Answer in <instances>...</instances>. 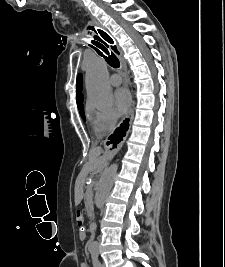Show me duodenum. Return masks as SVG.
<instances>
[{
  "instance_id": "1",
  "label": "duodenum",
  "mask_w": 225,
  "mask_h": 267,
  "mask_svg": "<svg viewBox=\"0 0 225 267\" xmlns=\"http://www.w3.org/2000/svg\"><path fill=\"white\" fill-rule=\"evenodd\" d=\"M90 228H91L92 230H95V229H96V224H95V223H91V224H90Z\"/></svg>"
}]
</instances>
